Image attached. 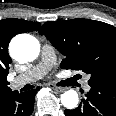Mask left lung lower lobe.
I'll use <instances>...</instances> for the list:
<instances>
[{
  "label": "left lung lower lobe",
  "instance_id": "0a47b994",
  "mask_svg": "<svg viewBox=\"0 0 116 116\" xmlns=\"http://www.w3.org/2000/svg\"><path fill=\"white\" fill-rule=\"evenodd\" d=\"M80 105L66 116H116V85H90Z\"/></svg>",
  "mask_w": 116,
  "mask_h": 116
}]
</instances>
